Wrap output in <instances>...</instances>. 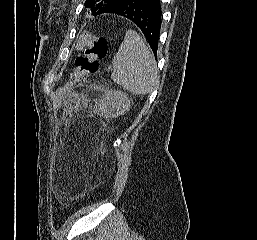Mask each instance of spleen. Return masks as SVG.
Returning a JSON list of instances; mask_svg holds the SVG:
<instances>
[{"label": "spleen", "mask_w": 257, "mask_h": 240, "mask_svg": "<svg viewBox=\"0 0 257 240\" xmlns=\"http://www.w3.org/2000/svg\"><path fill=\"white\" fill-rule=\"evenodd\" d=\"M111 79L133 94L151 93L158 82L155 59L141 37L128 30L112 61Z\"/></svg>", "instance_id": "3e777b00"}]
</instances>
